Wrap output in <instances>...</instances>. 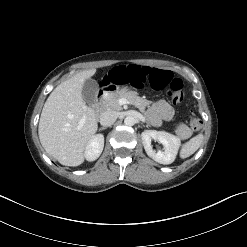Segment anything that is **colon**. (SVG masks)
Returning <instances> with one entry per match:
<instances>
[{
	"instance_id": "obj_1",
	"label": "colon",
	"mask_w": 247,
	"mask_h": 247,
	"mask_svg": "<svg viewBox=\"0 0 247 247\" xmlns=\"http://www.w3.org/2000/svg\"><path fill=\"white\" fill-rule=\"evenodd\" d=\"M101 84L107 90H116L123 86L166 89V95L174 104L180 103L185 97L183 82L174 78L172 72L160 70L148 65L137 66L134 63L115 64L101 75ZM189 124L194 132L202 128V121L194 110L189 115Z\"/></svg>"
}]
</instances>
